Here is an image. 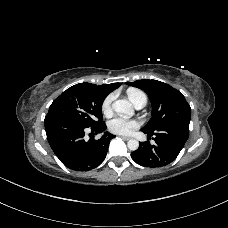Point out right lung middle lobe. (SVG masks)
<instances>
[{"label": "right lung middle lobe", "instance_id": "obj_1", "mask_svg": "<svg viewBox=\"0 0 228 228\" xmlns=\"http://www.w3.org/2000/svg\"><path fill=\"white\" fill-rule=\"evenodd\" d=\"M106 94L89 83L76 84L64 91L49 107L48 118H65L83 126L103 123L102 103Z\"/></svg>", "mask_w": 228, "mask_h": 228}]
</instances>
